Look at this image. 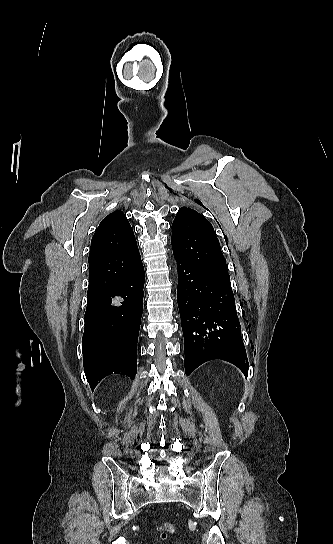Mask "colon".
<instances>
[{
  "mask_svg": "<svg viewBox=\"0 0 333 544\" xmlns=\"http://www.w3.org/2000/svg\"><path fill=\"white\" fill-rule=\"evenodd\" d=\"M159 531L161 539L165 541L168 539V535L175 531V524L173 522H165L160 526Z\"/></svg>",
  "mask_w": 333,
  "mask_h": 544,
  "instance_id": "1",
  "label": "colon"
}]
</instances>
